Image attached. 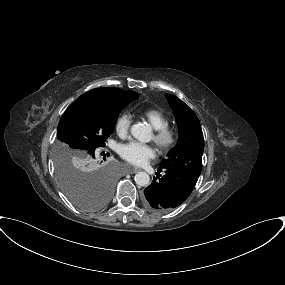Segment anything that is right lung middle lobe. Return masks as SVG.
I'll list each match as a JSON object with an SVG mask.
<instances>
[{"instance_id":"right-lung-middle-lobe-1","label":"right lung middle lobe","mask_w":285,"mask_h":285,"mask_svg":"<svg viewBox=\"0 0 285 285\" xmlns=\"http://www.w3.org/2000/svg\"><path fill=\"white\" fill-rule=\"evenodd\" d=\"M138 96L127 91L104 100L77 99L61 117L55 171L62 191L77 207L95 211L109 202L114 174L93 158L113 133L121 110Z\"/></svg>"}]
</instances>
